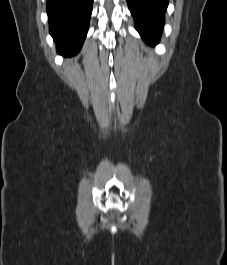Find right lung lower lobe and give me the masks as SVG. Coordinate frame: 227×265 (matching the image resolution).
<instances>
[{
  "instance_id": "1",
  "label": "right lung lower lobe",
  "mask_w": 227,
  "mask_h": 265,
  "mask_svg": "<svg viewBox=\"0 0 227 265\" xmlns=\"http://www.w3.org/2000/svg\"><path fill=\"white\" fill-rule=\"evenodd\" d=\"M93 0H47L49 32L57 51L65 56L79 52L89 29Z\"/></svg>"
}]
</instances>
